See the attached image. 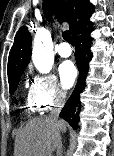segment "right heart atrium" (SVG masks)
Returning a JSON list of instances; mask_svg holds the SVG:
<instances>
[{"instance_id": "1", "label": "right heart atrium", "mask_w": 114, "mask_h": 156, "mask_svg": "<svg viewBox=\"0 0 114 156\" xmlns=\"http://www.w3.org/2000/svg\"><path fill=\"white\" fill-rule=\"evenodd\" d=\"M29 95L41 110L61 105L66 98L57 78L52 74L33 75Z\"/></svg>"}]
</instances>
